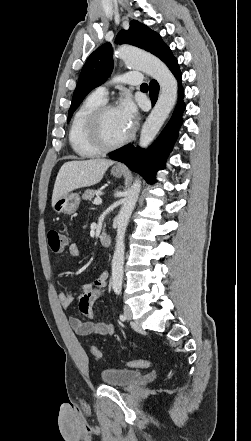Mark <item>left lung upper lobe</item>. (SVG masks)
I'll return each mask as SVG.
<instances>
[{
	"label": "left lung upper lobe",
	"instance_id": "5c2ea615",
	"mask_svg": "<svg viewBox=\"0 0 251 441\" xmlns=\"http://www.w3.org/2000/svg\"><path fill=\"white\" fill-rule=\"evenodd\" d=\"M116 43H128L144 49L161 60L169 51L161 37L146 25L132 20L128 31L121 30ZM112 45L105 43L96 49L87 59L79 76L72 103L68 113V121L72 114L83 101L85 96L97 86H100L111 75L113 70Z\"/></svg>",
	"mask_w": 251,
	"mask_h": 441
}]
</instances>
